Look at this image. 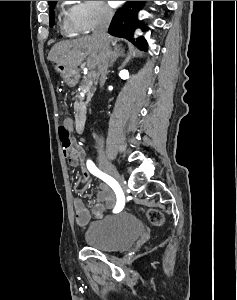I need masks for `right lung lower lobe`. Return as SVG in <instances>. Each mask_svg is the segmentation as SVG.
Wrapping results in <instances>:
<instances>
[{"mask_svg":"<svg viewBox=\"0 0 237 300\" xmlns=\"http://www.w3.org/2000/svg\"><path fill=\"white\" fill-rule=\"evenodd\" d=\"M144 1H128L120 8L109 27V33L117 37H123L133 41L134 28L138 27L137 12L142 8ZM145 48V40L143 37L137 39L136 42Z\"/></svg>","mask_w":237,"mask_h":300,"instance_id":"98d812e1","label":"right lung lower lobe"}]
</instances>
